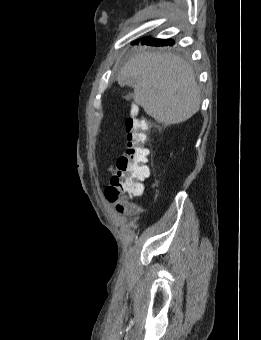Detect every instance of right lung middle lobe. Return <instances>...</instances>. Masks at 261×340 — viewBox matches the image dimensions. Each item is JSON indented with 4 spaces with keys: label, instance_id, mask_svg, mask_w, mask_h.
I'll use <instances>...</instances> for the list:
<instances>
[{
    "label": "right lung middle lobe",
    "instance_id": "1",
    "mask_svg": "<svg viewBox=\"0 0 261 340\" xmlns=\"http://www.w3.org/2000/svg\"><path fill=\"white\" fill-rule=\"evenodd\" d=\"M173 40H168L167 45H173Z\"/></svg>",
    "mask_w": 261,
    "mask_h": 340
}]
</instances>
